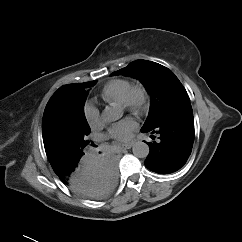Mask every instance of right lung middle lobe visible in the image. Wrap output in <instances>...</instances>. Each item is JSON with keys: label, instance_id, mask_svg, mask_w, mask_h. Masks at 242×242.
<instances>
[{"label": "right lung middle lobe", "instance_id": "right-lung-middle-lobe-1", "mask_svg": "<svg viewBox=\"0 0 242 242\" xmlns=\"http://www.w3.org/2000/svg\"><path fill=\"white\" fill-rule=\"evenodd\" d=\"M96 81L87 82L78 98L70 104L58 105L43 115L42 134L51 165H59L84 156L89 144L90 127L84 115L88 88Z\"/></svg>", "mask_w": 242, "mask_h": 242}]
</instances>
